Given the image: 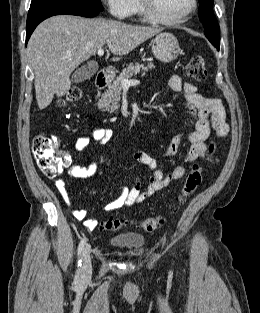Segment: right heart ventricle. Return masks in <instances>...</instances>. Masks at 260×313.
I'll use <instances>...</instances> for the list:
<instances>
[{"mask_svg": "<svg viewBox=\"0 0 260 313\" xmlns=\"http://www.w3.org/2000/svg\"><path fill=\"white\" fill-rule=\"evenodd\" d=\"M133 12L138 13V14L141 15L142 17L144 16L143 13H142V11H141V8H140V5H139L138 0H135ZM144 17H145V16H144ZM145 18H146V17H145ZM146 19H147V18H146Z\"/></svg>", "mask_w": 260, "mask_h": 313, "instance_id": "obj_1", "label": "right heart ventricle"}]
</instances>
